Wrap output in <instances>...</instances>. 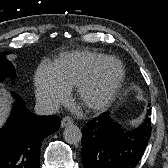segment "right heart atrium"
<instances>
[{"label": "right heart atrium", "instance_id": "right-heart-atrium-1", "mask_svg": "<svg viewBox=\"0 0 168 168\" xmlns=\"http://www.w3.org/2000/svg\"><path fill=\"white\" fill-rule=\"evenodd\" d=\"M69 90L56 78L51 67L42 65L35 74V94L39 104L53 110L68 97Z\"/></svg>", "mask_w": 168, "mask_h": 168}]
</instances>
